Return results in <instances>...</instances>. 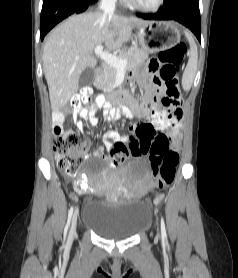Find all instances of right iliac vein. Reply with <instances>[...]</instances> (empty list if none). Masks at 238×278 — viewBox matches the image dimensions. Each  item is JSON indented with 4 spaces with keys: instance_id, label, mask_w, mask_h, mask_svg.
<instances>
[{
    "instance_id": "right-iliac-vein-1",
    "label": "right iliac vein",
    "mask_w": 238,
    "mask_h": 278,
    "mask_svg": "<svg viewBox=\"0 0 238 278\" xmlns=\"http://www.w3.org/2000/svg\"><path fill=\"white\" fill-rule=\"evenodd\" d=\"M76 229H77V214L75 212L72 218L71 228L69 232V239H72L75 236Z\"/></svg>"
}]
</instances>
